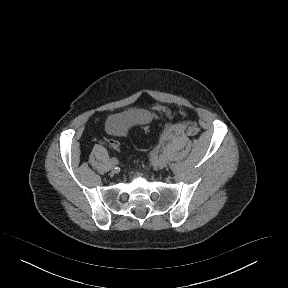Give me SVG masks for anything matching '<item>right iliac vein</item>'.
Wrapping results in <instances>:
<instances>
[{"label": "right iliac vein", "mask_w": 288, "mask_h": 288, "mask_svg": "<svg viewBox=\"0 0 288 288\" xmlns=\"http://www.w3.org/2000/svg\"><path fill=\"white\" fill-rule=\"evenodd\" d=\"M111 169H116V163L111 162Z\"/></svg>", "instance_id": "1"}]
</instances>
